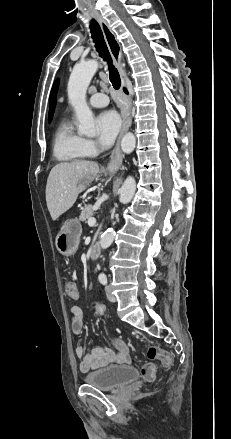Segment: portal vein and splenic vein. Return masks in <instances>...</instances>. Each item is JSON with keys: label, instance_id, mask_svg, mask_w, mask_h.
Instances as JSON below:
<instances>
[{"label": "portal vein and splenic vein", "instance_id": "1", "mask_svg": "<svg viewBox=\"0 0 231 439\" xmlns=\"http://www.w3.org/2000/svg\"><path fill=\"white\" fill-rule=\"evenodd\" d=\"M96 219L95 218H89L88 219V225L89 226H94V225H96Z\"/></svg>", "mask_w": 231, "mask_h": 439}]
</instances>
